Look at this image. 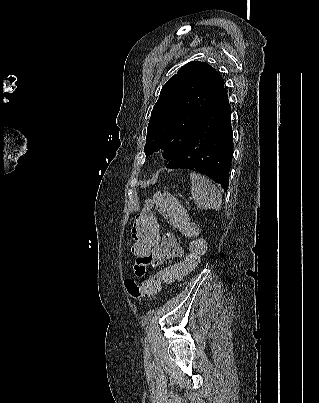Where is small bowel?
I'll return each mask as SVG.
<instances>
[{
	"label": "small bowel",
	"instance_id": "obj_1",
	"mask_svg": "<svg viewBox=\"0 0 319 403\" xmlns=\"http://www.w3.org/2000/svg\"><path fill=\"white\" fill-rule=\"evenodd\" d=\"M184 250L177 242L175 236L171 233L165 234L161 238L158 247H152V251L142 252L137 260L138 266H131L129 268V280L136 283L139 280L137 274L148 271L150 267H157L167 260H175L182 257ZM177 267V266H176ZM184 274H178L177 279H180ZM127 282V281H126Z\"/></svg>",
	"mask_w": 319,
	"mask_h": 403
}]
</instances>
